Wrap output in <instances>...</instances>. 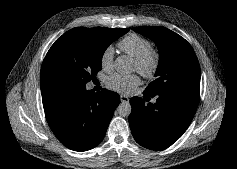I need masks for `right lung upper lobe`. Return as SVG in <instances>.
I'll return each instance as SVG.
<instances>
[{"label":"right lung upper lobe","instance_id":"obj_1","mask_svg":"<svg viewBox=\"0 0 237 169\" xmlns=\"http://www.w3.org/2000/svg\"><path fill=\"white\" fill-rule=\"evenodd\" d=\"M87 29H90V30H93V31H100V32H108V31H111V30H114L116 28H87Z\"/></svg>","mask_w":237,"mask_h":169}]
</instances>
